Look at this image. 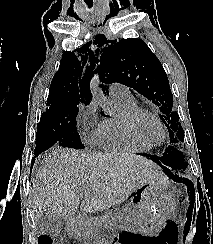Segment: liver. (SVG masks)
<instances>
[{
  "instance_id": "1",
  "label": "liver",
  "mask_w": 213,
  "mask_h": 244,
  "mask_svg": "<svg viewBox=\"0 0 213 244\" xmlns=\"http://www.w3.org/2000/svg\"><path fill=\"white\" fill-rule=\"evenodd\" d=\"M159 180L158 166L141 156L55 148L34 174V219L38 223L45 213L70 219L81 199L83 213L102 210Z\"/></svg>"
}]
</instances>
